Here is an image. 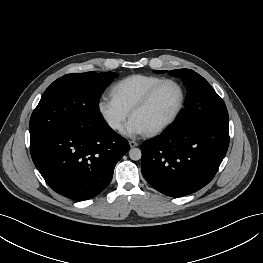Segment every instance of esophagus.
Returning a JSON list of instances; mask_svg holds the SVG:
<instances>
[{
    "label": "esophagus",
    "instance_id": "1",
    "mask_svg": "<svg viewBox=\"0 0 263 263\" xmlns=\"http://www.w3.org/2000/svg\"><path fill=\"white\" fill-rule=\"evenodd\" d=\"M129 145H130L131 148H133V147L138 146V142L133 141V140H130V141H129Z\"/></svg>",
    "mask_w": 263,
    "mask_h": 263
}]
</instances>
